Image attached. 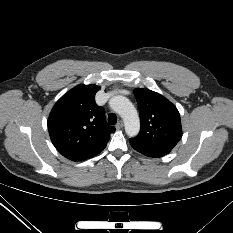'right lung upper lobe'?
Segmentation results:
<instances>
[{
    "label": "right lung upper lobe",
    "instance_id": "obj_1",
    "mask_svg": "<svg viewBox=\"0 0 233 233\" xmlns=\"http://www.w3.org/2000/svg\"><path fill=\"white\" fill-rule=\"evenodd\" d=\"M96 85H78L54 105L48 118V131L55 148L72 161H83L100 153L115 128L105 120L96 105Z\"/></svg>",
    "mask_w": 233,
    "mask_h": 233
}]
</instances>
